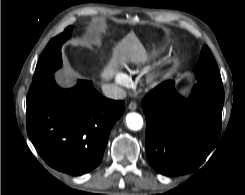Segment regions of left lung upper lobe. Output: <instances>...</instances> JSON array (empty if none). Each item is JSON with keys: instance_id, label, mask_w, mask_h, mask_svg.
Masks as SVG:
<instances>
[{"instance_id": "5c2ea615", "label": "left lung upper lobe", "mask_w": 245, "mask_h": 195, "mask_svg": "<svg viewBox=\"0 0 245 195\" xmlns=\"http://www.w3.org/2000/svg\"><path fill=\"white\" fill-rule=\"evenodd\" d=\"M198 83H208L222 87V80L210 49L204 46L195 67Z\"/></svg>"}]
</instances>
